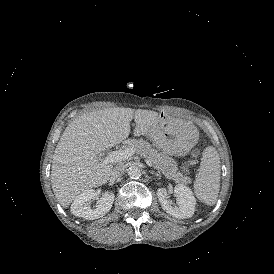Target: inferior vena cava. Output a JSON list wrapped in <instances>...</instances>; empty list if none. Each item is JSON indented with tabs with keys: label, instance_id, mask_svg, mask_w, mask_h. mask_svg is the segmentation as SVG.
I'll return each instance as SVG.
<instances>
[{
	"label": "inferior vena cava",
	"instance_id": "obj_1",
	"mask_svg": "<svg viewBox=\"0 0 274 274\" xmlns=\"http://www.w3.org/2000/svg\"><path fill=\"white\" fill-rule=\"evenodd\" d=\"M126 171L127 169L123 165H117L113 168L111 177L115 180L120 179Z\"/></svg>",
	"mask_w": 274,
	"mask_h": 274
}]
</instances>
